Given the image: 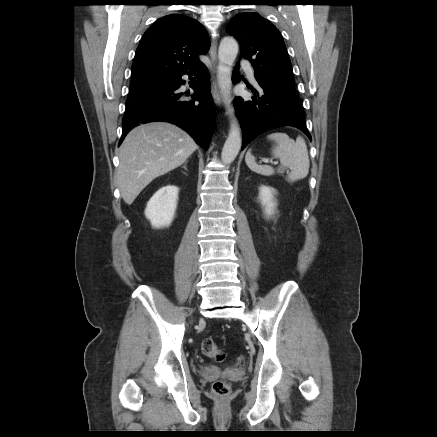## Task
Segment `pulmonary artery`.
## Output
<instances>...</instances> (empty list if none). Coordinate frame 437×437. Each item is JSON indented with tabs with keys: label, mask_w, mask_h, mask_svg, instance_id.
<instances>
[{
	"label": "pulmonary artery",
	"mask_w": 437,
	"mask_h": 437,
	"mask_svg": "<svg viewBox=\"0 0 437 437\" xmlns=\"http://www.w3.org/2000/svg\"><path fill=\"white\" fill-rule=\"evenodd\" d=\"M241 66L246 70L249 78L254 79V73L251 65L247 61L243 60L241 61Z\"/></svg>",
	"instance_id": "obj_1"
}]
</instances>
